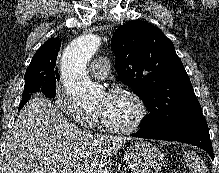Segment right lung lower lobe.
<instances>
[{
  "instance_id": "1",
  "label": "right lung lower lobe",
  "mask_w": 219,
  "mask_h": 173,
  "mask_svg": "<svg viewBox=\"0 0 219 173\" xmlns=\"http://www.w3.org/2000/svg\"><path fill=\"white\" fill-rule=\"evenodd\" d=\"M30 97H31V95L23 97L22 101L20 102L18 110H20L27 103V101L30 99Z\"/></svg>"
}]
</instances>
